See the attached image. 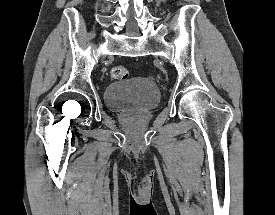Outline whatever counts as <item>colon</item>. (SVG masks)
Listing matches in <instances>:
<instances>
[{"mask_svg":"<svg viewBox=\"0 0 275 215\" xmlns=\"http://www.w3.org/2000/svg\"><path fill=\"white\" fill-rule=\"evenodd\" d=\"M110 73L113 79L124 80L128 78V71L124 66H120V65L113 66L111 68Z\"/></svg>","mask_w":275,"mask_h":215,"instance_id":"colon-1","label":"colon"}]
</instances>
